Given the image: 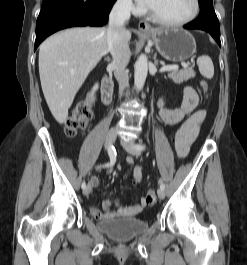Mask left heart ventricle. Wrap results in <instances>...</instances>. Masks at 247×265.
Masks as SVG:
<instances>
[{
  "label": "left heart ventricle",
  "mask_w": 247,
  "mask_h": 265,
  "mask_svg": "<svg viewBox=\"0 0 247 265\" xmlns=\"http://www.w3.org/2000/svg\"><path fill=\"white\" fill-rule=\"evenodd\" d=\"M150 9L160 17L179 21L188 17L193 9V0H154Z\"/></svg>",
  "instance_id": "b2bd125f"
}]
</instances>
